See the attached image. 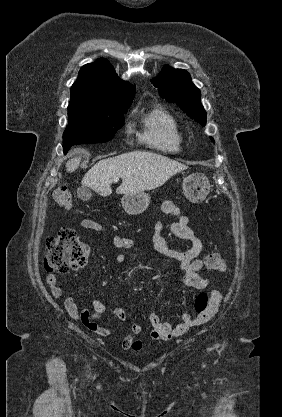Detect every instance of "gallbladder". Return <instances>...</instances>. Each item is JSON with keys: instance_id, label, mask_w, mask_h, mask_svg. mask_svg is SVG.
<instances>
[{"instance_id": "obj_1", "label": "gallbladder", "mask_w": 282, "mask_h": 417, "mask_svg": "<svg viewBox=\"0 0 282 417\" xmlns=\"http://www.w3.org/2000/svg\"><path fill=\"white\" fill-rule=\"evenodd\" d=\"M77 194L82 200H89L90 196H92V192L87 186H80L77 190Z\"/></svg>"}]
</instances>
